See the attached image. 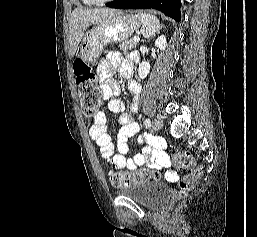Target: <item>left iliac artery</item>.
I'll return each instance as SVG.
<instances>
[{
    "instance_id": "44dca946",
    "label": "left iliac artery",
    "mask_w": 257,
    "mask_h": 237,
    "mask_svg": "<svg viewBox=\"0 0 257 237\" xmlns=\"http://www.w3.org/2000/svg\"><path fill=\"white\" fill-rule=\"evenodd\" d=\"M144 125H145L146 128H147V127H150L151 121H150L149 118H147V119L144 121Z\"/></svg>"
}]
</instances>
